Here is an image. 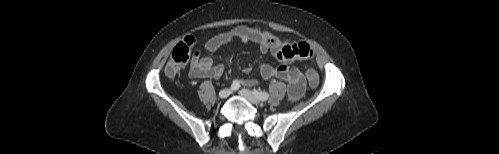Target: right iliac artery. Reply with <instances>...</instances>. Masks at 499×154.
Instances as JSON below:
<instances>
[{
	"label": "right iliac artery",
	"mask_w": 499,
	"mask_h": 154,
	"mask_svg": "<svg viewBox=\"0 0 499 154\" xmlns=\"http://www.w3.org/2000/svg\"><path fill=\"white\" fill-rule=\"evenodd\" d=\"M239 87H240V83H239V81H238V80H234V81L232 82V84H231V89H232L233 91H236V90H238V89H239Z\"/></svg>",
	"instance_id": "right-iliac-artery-1"
}]
</instances>
